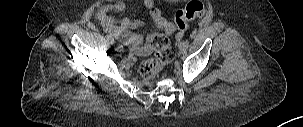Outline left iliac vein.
<instances>
[{"label":"left iliac vein","instance_id":"4c4485c4","mask_svg":"<svg viewBox=\"0 0 303 127\" xmlns=\"http://www.w3.org/2000/svg\"><path fill=\"white\" fill-rule=\"evenodd\" d=\"M187 47L185 46L184 42L179 43V51L180 53L184 54L186 52Z\"/></svg>","mask_w":303,"mask_h":127}]
</instances>
